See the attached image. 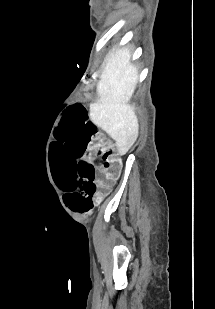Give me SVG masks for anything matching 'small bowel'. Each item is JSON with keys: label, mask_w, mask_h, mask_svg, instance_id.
<instances>
[{"label": "small bowel", "mask_w": 215, "mask_h": 309, "mask_svg": "<svg viewBox=\"0 0 215 309\" xmlns=\"http://www.w3.org/2000/svg\"><path fill=\"white\" fill-rule=\"evenodd\" d=\"M102 190L97 194V198L101 200L108 192H109V186L110 185H104L100 184Z\"/></svg>", "instance_id": "obj_1"}]
</instances>
